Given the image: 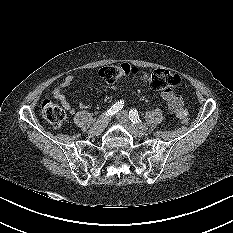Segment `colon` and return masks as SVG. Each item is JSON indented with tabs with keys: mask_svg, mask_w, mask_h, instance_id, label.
<instances>
[{
	"mask_svg": "<svg viewBox=\"0 0 233 233\" xmlns=\"http://www.w3.org/2000/svg\"><path fill=\"white\" fill-rule=\"evenodd\" d=\"M98 74L108 83H114L119 79L127 77L137 78L158 91H173L181 84V78L168 70L140 71L138 68L126 63L103 67ZM40 113L43 119L55 128L61 127L66 120L65 111L51 100L43 101ZM187 121V118H184L182 123H187Z\"/></svg>",
	"mask_w": 233,
	"mask_h": 233,
	"instance_id": "colon-1",
	"label": "colon"
}]
</instances>
